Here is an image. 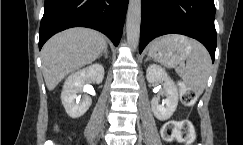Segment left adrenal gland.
Here are the masks:
<instances>
[{
	"mask_svg": "<svg viewBox=\"0 0 243 145\" xmlns=\"http://www.w3.org/2000/svg\"><path fill=\"white\" fill-rule=\"evenodd\" d=\"M150 60V56L148 55L147 58L145 59V62Z\"/></svg>",
	"mask_w": 243,
	"mask_h": 145,
	"instance_id": "1",
	"label": "left adrenal gland"
}]
</instances>
